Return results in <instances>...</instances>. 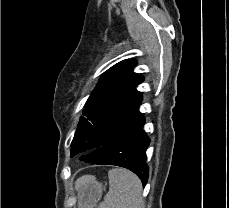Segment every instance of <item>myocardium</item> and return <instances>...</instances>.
<instances>
[{"mask_svg": "<svg viewBox=\"0 0 229 208\" xmlns=\"http://www.w3.org/2000/svg\"><path fill=\"white\" fill-rule=\"evenodd\" d=\"M104 147V143H99V144H96L95 146H94V149L95 150H99V149H101V148H103Z\"/></svg>", "mask_w": 229, "mask_h": 208, "instance_id": "myocardium-1", "label": "myocardium"}]
</instances>
